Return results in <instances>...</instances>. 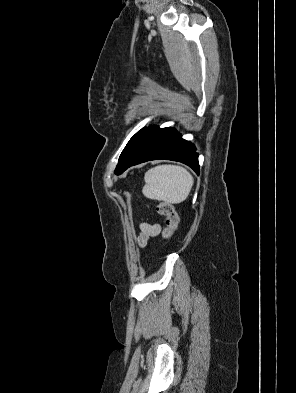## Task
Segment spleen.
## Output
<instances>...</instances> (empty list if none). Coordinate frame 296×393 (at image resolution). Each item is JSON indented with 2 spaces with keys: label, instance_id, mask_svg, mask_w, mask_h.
I'll return each mask as SVG.
<instances>
[{
  "label": "spleen",
  "instance_id": "3e777b00",
  "mask_svg": "<svg viewBox=\"0 0 296 393\" xmlns=\"http://www.w3.org/2000/svg\"><path fill=\"white\" fill-rule=\"evenodd\" d=\"M143 194L152 200L178 204L186 200L194 184L193 176L177 165H159L145 173Z\"/></svg>",
  "mask_w": 296,
  "mask_h": 393
}]
</instances>
